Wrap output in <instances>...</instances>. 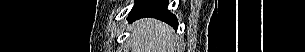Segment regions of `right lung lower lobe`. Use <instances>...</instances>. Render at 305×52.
Instances as JSON below:
<instances>
[{
  "mask_svg": "<svg viewBox=\"0 0 305 52\" xmlns=\"http://www.w3.org/2000/svg\"><path fill=\"white\" fill-rule=\"evenodd\" d=\"M166 0H142L135 4L129 14V21L143 17H154L160 19L177 29V19L167 10Z\"/></svg>",
  "mask_w": 305,
  "mask_h": 52,
  "instance_id": "1",
  "label": "right lung lower lobe"
}]
</instances>
